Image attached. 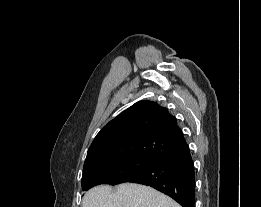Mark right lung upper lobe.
<instances>
[{
    "label": "right lung upper lobe",
    "instance_id": "1",
    "mask_svg": "<svg viewBox=\"0 0 261 207\" xmlns=\"http://www.w3.org/2000/svg\"><path fill=\"white\" fill-rule=\"evenodd\" d=\"M188 147L176 118L152 101H139L108 122L87 152L84 166L128 156L161 159Z\"/></svg>",
    "mask_w": 261,
    "mask_h": 207
}]
</instances>
